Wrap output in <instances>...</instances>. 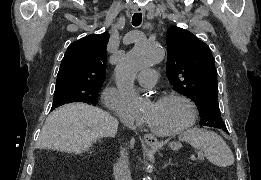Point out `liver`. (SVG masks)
<instances>
[{
    "instance_id": "liver-1",
    "label": "liver",
    "mask_w": 261,
    "mask_h": 180,
    "mask_svg": "<svg viewBox=\"0 0 261 180\" xmlns=\"http://www.w3.org/2000/svg\"><path fill=\"white\" fill-rule=\"evenodd\" d=\"M118 122L108 112L88 104H67L47 118L39 138L40 148L67 154L89 152L101 138H114ZM134 138L130 142L131 148Z\"/></svg>"
}]
</instances>
